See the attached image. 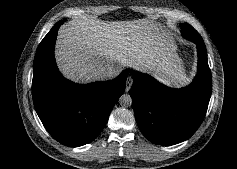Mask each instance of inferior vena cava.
Here are the masks:
<instances>
[{"instance_id":"inferior-vena-cava-1","label":"inferior vena cava","mask_w":237,"mask_h":169,"mask_svg":"<svg viewBox=\"0 0 237 169\" xmlns=\"http://www.w3.org/2000/svg\"><path fill=\"white\" fill-rule=\"evenodd\" d=\"M120 69L119 68H115V67H109L106 69H103L100 72V78L102 80H109L112 78H115L119 73H120Z\"/></svg>"}]
</instances>
